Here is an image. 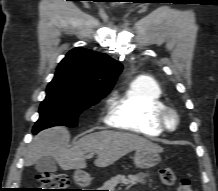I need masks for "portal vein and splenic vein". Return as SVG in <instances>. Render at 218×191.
<instances>
[{
    "label": "portal vein and splenic vein",
    "instance_id": "portal-vein-and-splenic-vein-1",
    "mask_svg": "<svg viewBox=\"0 0 218 191\" xmlns=\"http://www.w3.org/2000/svg\"><path fill=\"white\" fill-rule=\"evenodd\" d=\"M93 156H94V154L91 153V154H89L87 157H88V158H92Z\"/></svg>",
    "mask_w": 218,
    "mask_h": 191
}]
</instances>
